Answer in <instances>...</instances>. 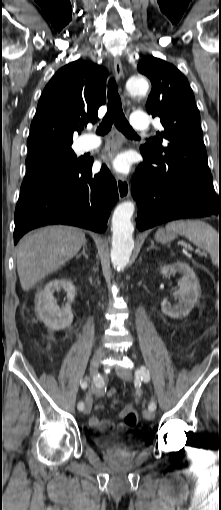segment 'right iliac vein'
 <instances>
[{"label": "right iliac vein", "instance_id": "obj_1", "mask_svg": "<svg viewBox=\"0 0 221 510\" xmlns=\"http://www.w3.org/2000/svg\"><path fill=\"white\" fill-rule=\"evenodd\" d=\"M104 357V353L102 352H96L91 361H90V367H89V370H90V375L92 377H95L98 373V369H99V365H100V362L102 360V358ZM92 405H93V400H92V397L91 395L89 394L86 398V403H85V410H84V413L85 414H89L91 409H92Z\"/></svg>", "mask_w": 221, "mask_h": 510}]
</instances>
